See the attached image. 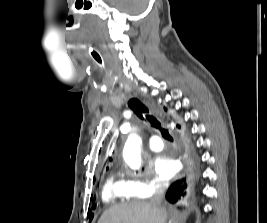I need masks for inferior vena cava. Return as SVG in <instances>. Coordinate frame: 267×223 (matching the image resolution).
<instances>
[{
  "label": "inferior vena cava",
  "instance_id": "obj_1",
  "mask_svg": "<svg viewBox=\"0 0 267 223\" xmlns=\"http://www.w3.org/2000/svg\"><path fill=\"white\" fill-rule=\"evenodd\" d=\"M168 187V184L166 183H159L157 185V189L155 194L153 195L151 199V203L158 206V207H163V200H164V192L165 189Z\"/></svg>",
  "mask_w": 267,
  "mask_h": 223
}]
</instances>
